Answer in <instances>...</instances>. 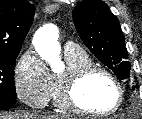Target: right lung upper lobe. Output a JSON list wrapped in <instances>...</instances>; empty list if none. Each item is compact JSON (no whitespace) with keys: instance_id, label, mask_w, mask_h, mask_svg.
<instances>
[{"instance_id":"obj_1","label":"right lung upper lobe","mask_w":142,"mask_h":119,"mask_svg":"<svg viewBox=\"0 0 142 119\" xmlns=\"http://www.w3.org/2000/svg\"><path fill=\"white\" fill-rule=\"evenodd\" d=\"M34 12L27 0H0V54L20 52Z\"/></svg>"}]
</instances>
